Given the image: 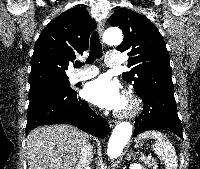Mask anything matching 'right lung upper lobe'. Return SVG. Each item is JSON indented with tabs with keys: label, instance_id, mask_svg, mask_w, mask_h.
Returning <instances> with one entry per match:
<instances>
[{
	"label": "right lung upper lobe",
	"instance_id": "right-lung-upper-lobe-1",
	"mask_svg": "<svg viewBox=\"0 0 200 169\" xmlns=\"http://www.w3.org/2000/svg\"><path fill=\"white\" fill-rule=\"evenodd\" d=\"M96 28L88 11L74 7L53 19L41 32L31 58L30 86L48 79L68 78L66 71L76 53L89 45Z\"/></svg>",
	"mask_w": 200,
	"mask_h": 169
}]
</instances>
